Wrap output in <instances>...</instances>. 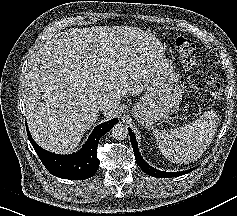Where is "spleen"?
Here are the masks:
<instances>
[{
    "instance_id": "3e777b00",
    "label": "spleen",
    "mask_w": 237,
    "mask_h": 216,
    "mask_svg": "<svg viewBox=\"0 0 237 216\" xmlns=\"http://www.w3.org/2000/svg\"><path fill=\"white\" fill-rule=\"evenodd\" d=\"M216 125L210 122L208 112L185 126L170 130H154L161 153L174 162H191L201 156L212 143Z\"/></svg>"
}]
</instances>
